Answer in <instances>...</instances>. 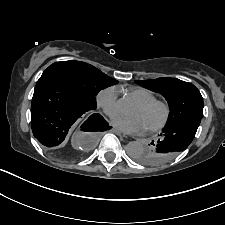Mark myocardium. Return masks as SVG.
<instances>
[{
    "instance_id": "myocardium-1",
    "label": "myocardium",
    "mask_w": 225,
    "mask_h": 225,
    "mask_svg": "<svg viewBox=\"0 0 225 225\" xmlns=\"http://www.w3.org/2000/svg\"><path fill=\"white\" fill-rule=\"evenodd\" d=\"M138 105L144 109H149L154 106H161L164 110V115L162 120L156 125L148 127L149 131L156 132L163 129L167 125L171 116V107L167 101L155 98L150 101L140 102L138 103Z\"/></svg>"
}]
</instances>
